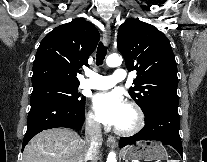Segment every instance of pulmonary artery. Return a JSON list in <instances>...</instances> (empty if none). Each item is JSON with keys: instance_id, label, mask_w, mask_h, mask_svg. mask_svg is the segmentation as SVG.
I'll use <instances>...</instances> for the list:
<instances>
[{"instance_id": "1", "label": "pulmonary artery", "mask_w": 207, "mask_h": 162, "mask_svg": "<svg viewBox=\"0 0 207 162\" xmlns=\"http://www.w3.org/2000/svg\"><path fill=\"white\" fill-rule=\"evenodd\" d=\"M88 79H85L81 86L87 89H109L122 82L126 78V73L123 69H117L111 76H103L91 71H87Z\"/></svg>"}]
</instances>
